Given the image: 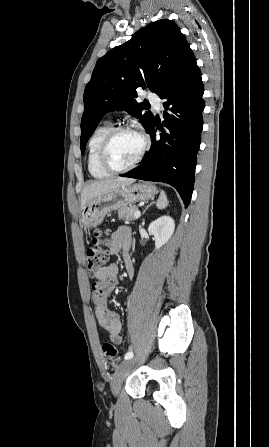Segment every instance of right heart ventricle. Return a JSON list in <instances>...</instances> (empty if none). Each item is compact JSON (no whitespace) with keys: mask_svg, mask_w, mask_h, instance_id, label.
<instances>
[{"mask_svg":"<svg viewBox=\"0 0 269 447\" xmlns=\"http://www.w3.org/2000/svg\"><path fill=\"white\" fill-rule=\"evenodd\" d=\"M112 124L106 122L97 127L92 133L88 143V170L96 178H104L110 175L100 163V151L104 138L112 129Z\"/></svg>","mask_w":269,"mask_h":447,"instance_id":"1","label":"right heart ventricle"}]
</instances>
